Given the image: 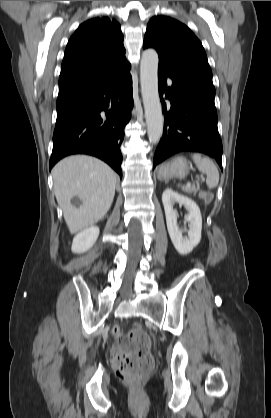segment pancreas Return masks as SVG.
Listing matches in <instances>:
<instances>
[{
	"label": "pancreas",
	"mask_w": 271,
	"mask_h": 418,
	"mask_svg": "<svg viewBox=\"0 0 271 418\" xmlns=\"http://www.w3.org/2000/svg\"><path fill=\"white\" fill-rule=\"evenodd\" d=\"M185 191H186V192H188V193H193V194H196V193L199 191V185H197V186H192V187H187V188L185 189Z\"/></svg>",
	"instance_id": "1"
}]
</instances>
